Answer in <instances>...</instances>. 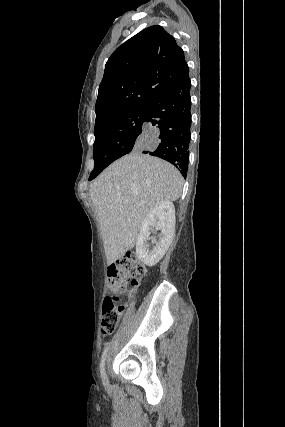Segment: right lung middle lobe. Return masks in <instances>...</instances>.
Segmentation results:
<instances>
[{
    "label": "right lung middle lobe",
    "instance_id": "right-lung-middle-lobe-1",
    "mask_svg": "<svg viewBox=\"0 0 285 427\" xmlns=\"http://www.w3.org/2000/svg\"><path fill=\"white\" fill-rule=\"evenodd\" d=\"M147 105L119 113L94 128L95 166L89 180L141 143Z\"/></svg>",
    "mask_w": 285,
    "mask_h": 427
}]
</instances>
